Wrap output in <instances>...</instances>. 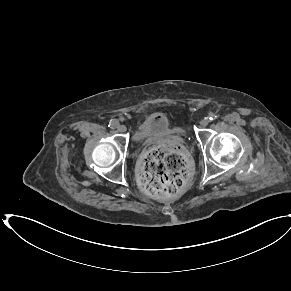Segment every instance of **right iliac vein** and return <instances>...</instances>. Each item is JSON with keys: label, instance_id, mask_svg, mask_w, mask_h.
I'll use <instances>...</instances> for the list:
<instances>
[{"label": "right iliac vein", "instance_id": "63e3f726", "mask_svg": "<svg viewBox=\"0 0 291 291\" xmlns=\"http://www.w3.org/2000/svg\"><path fill=\"white\" fill-rule=\"evenodd\" d=\"M117 130L120 132V133H124V132H126V130H127V128H126V126L125 125H119L118 127H117Z\"/></svg>", "mask_w": 291, "mask_h": 291}]
</instances>
